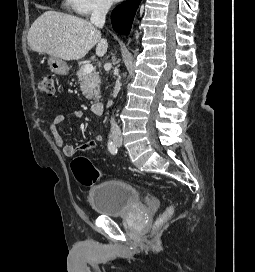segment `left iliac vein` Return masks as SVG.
Returning <instances> with one entry per match:
<instances>
[{
	"label": "left iliac vein",
	"instance_id": "1",
	"mask_svg": "<svg viewBox=\"0 0 255 272\" xmlns=\"http://www.w3.org/2000/svg\"><path fill=\"white\" fill-rule=\"evenodd\" d=\"M114 141H115V144H116L118 147H120V146L122 145V137H121V135H117V136L115 137Z\"/></svg>",
	"mask_w": 255,
	"mask_h": 272
}]
</instances>
